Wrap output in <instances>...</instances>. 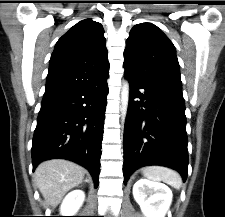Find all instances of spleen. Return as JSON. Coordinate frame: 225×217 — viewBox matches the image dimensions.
Returning a JSON list of instances; mask_svg holds the SVG:
<instances>
[{
  "mask_svg": "<svg viewBox=\"0 0 225 217\" xmlns=\"http://www.w3.org/2000/svg\"><path fill=\"white\" fill-rule=\"evenodd\" d=\"M142 172L144 177L150 180L163 181L176 189L181 188V176L170 168L164 166H148L145 167Z\"/></svg>",
  "mask_w": 225,
  "mask_h": 217,
  "instance_id": "obj_1",
  "label": "spleen"
}]
</instances>
